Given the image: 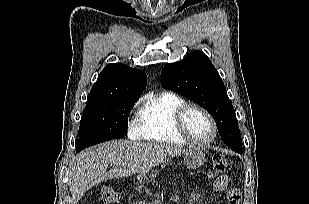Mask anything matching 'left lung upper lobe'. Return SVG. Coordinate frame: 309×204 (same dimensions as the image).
I'll use <instances>...</instances> for the list:
<instances>
[{"label": "left lung upper lobe", "instance_id": "obj_1", "mask_svg": "<svg viewBox=\"0 0 309 204\" xmlns=\"http://www.w3.org/2000/svg\"><path fill=\"white\" fill-rule=\"evenodd\" d=\"M161 85L205 108L214 118L221 139L232 150L242 152L234 107L219 73L202 51H193L179 62L166 64Z\"/></svg>", "mask_w": 309, "mask_h": 204}]
</instances>
